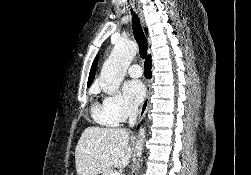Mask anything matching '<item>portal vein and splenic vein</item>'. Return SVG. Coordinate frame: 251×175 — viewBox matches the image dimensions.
Here are the masks:
<instances>
[{
  "mask_svg": "<svg viewBox=\"0 0 251 175\" xmlns=\"http://www.w3.org/2000/svg\"><path fill=\"white\" fill-rule=\"evenodd\" d=\"M110 175H121V173H119V171H112V173H110Z\"/></svg>",
  "mask_w": 251,
  "mask_h": 175,
  "instance_id": "1",
  "label": "portal vein and splenic vein"
}]
</instances>
